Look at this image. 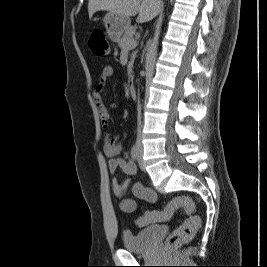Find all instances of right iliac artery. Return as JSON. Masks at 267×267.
<instances>
[{
    "label": "right iliac artery",
    "mask_w": 267,
    "mask_h": 267,
    "mask_svg": "<svg viewBox=\"0 0 267 267\" xmlns=\"http://www.w3.org/2000/svg\"><path fill=\"white\" fill-rule=\"evenodd\" d=\"M131 157H132L133 160H137L138 159V148L135 145L131 149Z\"/></svg>",
    "instance_id": "obj_1"
}]
</instances>
